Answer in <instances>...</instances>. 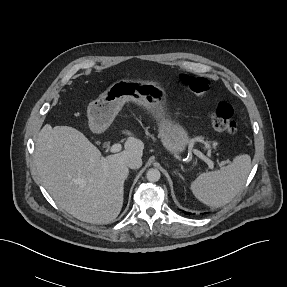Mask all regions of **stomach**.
I'll return each instance as SVG.
<instances>
[{
	"instance_id": "stomach-1",
	"label": "stomach",
	"mask_w": 287,
	"mask_h": 287,
	"mask_svg": "<svg viewBox=\"0 0 287 287\" xmlns=\"http://www.w3.org/2000/svg\"><path fill=\"white\" fill-rule=\"evenodd\" d=\"M126 102H134L151 114L167 151L179 154L185 150L190 143L189 134L166 112V92L156 81L122 79L114 82L89 105L90 128L95 132L108 128Z\"/></svg>"
}]
</instances>
